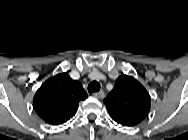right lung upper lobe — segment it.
<instances>
[{
	"label": "right lung upper lobe",
	"mask_w": 188,
	"mask_h": 140,
	"mask_svg": "<svg viewBox=\"0 0 188 140\" xmlns=\"http://www.w3.org/2000/svg\"><path fill=\"white\" fill-rule=\"evenodd\" d=\"M87 97L81 83L65 72L42 84L34 96L33 107L46 123L60 125L75 115L79 102Z\"/></svg>",
	"instance_id": "right-lung-upper-lobe-1"
}]
</instances>
